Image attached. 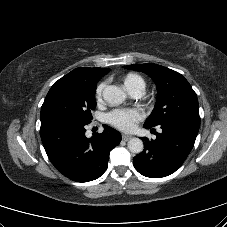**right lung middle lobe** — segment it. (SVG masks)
<instances>
[{"label":"right lung middle lobe","instance_id":"right-lung-middle-lobe-1","mask_svg":"<svg viewBox=\"0 0 227 227\" xmlns=\"http://www.w3.org/2000/svg\"><path fill=\"white\" fill-rule=\"evenodd\" d=\"M99 78L65 75L49 90L41 108V124L67 120L82 125L91 122L96 107L95 91Z\"/></svg>","mask_w":227,"mask_h":227}]
</instances>
